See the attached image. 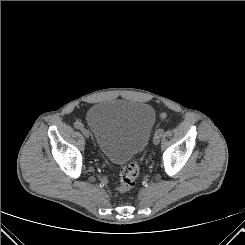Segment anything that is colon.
Returning a JSON list of instances; mask_svg holds the SVG:
<instances>
[{"mask_svg":"<svg viewBox=\"0 0 245 245\" xmlns=\"http://www.w3.org/2000/svg\"><path fill=\"white\" fill-rule=\"evenodd\" d=\"M139 174V165L133 160L124 165L120 171V180L116 186V193L123 194L131 190L137 180Z\"/></svg>","mask_w":245,"mask_h":245,"instance_id":"5ec220e1","label":"colon"}]
</instances>
